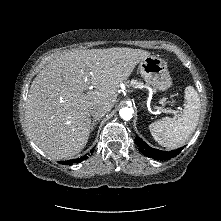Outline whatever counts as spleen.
<instances>
[{"label": "spleen", "mask_w": 221, "mask_h": 221, "mask_svg": "<svg viewBox=\"0 0 221 221\" xmlns=\"http://www.w3.org/2000/svg\"><path fill=\"white\" fill-rule=\"evenodd\" d=\"M183 114L176 121L164 117L149 125L154 140L166 148H177L183 145L194 133L200 116L201 103L199 94L192 86L184 91Z\"/></svg>", "instance_id": "spleen-1"}]
</instances>
